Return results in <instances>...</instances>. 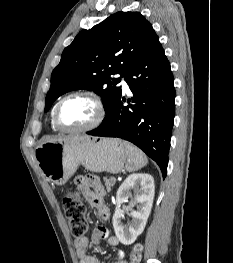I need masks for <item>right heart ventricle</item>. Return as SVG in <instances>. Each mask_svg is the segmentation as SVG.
Returning a JSON list of instances; mask_svg holds the SVG:
<instances>
[{
  "label": "right heart ventricle",
  "instance_id": "1",
  "mask_svg": "<svg viewBox=\"0 0 233 263\" xmlns=\"http://www.w3.org/2000/svg\"><path fill=\"white\" fill-rule=\"evenodd\" d=\"M55 106H56V105H55ZM55 106L52 108V111H51V114H50V125H51V128H52L54 131H57L58 128L55 126L54 121H53V115H54Z\"/></svg>",
  "mask_w": 233,
  "mask_h": 263
}]
</instances>
